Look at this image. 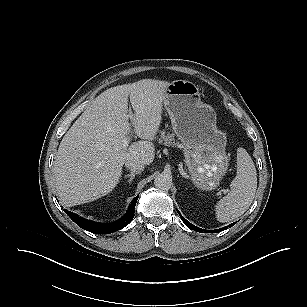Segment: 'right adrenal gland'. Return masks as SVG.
<instances>
[{
  "instance_id": "2a0ac1e0",
  "label": "right adrenal gland",
  "mask_w": 307,
  "mask_h": 307,
  "mask_svg": "<svg viewBox=\"0 0 307 307\" xmlns=\"http://www.w3.org/2000/svg\"><path fill=\"white\" fill-rule=\"evenodd\" d=\"M139 174L138 172H131L130 174L125 175V178H129L128 183H131L135 178V175Z\"/></svg>"
}]
</instances>
